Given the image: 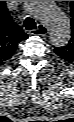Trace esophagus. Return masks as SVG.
I'll return each mask as SVG.
<instances>
[{"label": "esophagus", "mask_w": 74, "mask_h": 122, "mask_svg": "<svg viewBox=\"0 0 74 122\" xmlns=\"http://www.w3.org/2000/svg\"><path fill=\"white\" fill-rule=\"evenodd\" d=\"M29 33L31 35H39L43 36L47 33V28L44 24H38L37 29L35 30H30Z\"/></svg>", "instance_id": "1"}]
</instances>
